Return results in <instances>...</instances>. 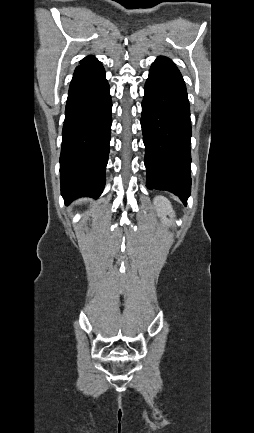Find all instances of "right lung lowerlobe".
<instances>
[{
    "label": "right lung lower lobe",
    "mask_w": 254,
    "mask_h": 433,
    "mask_svg": "<svg viewBox=\"0 0 254 433\" xmlns=\"http://www.w3.org/2000/svg\"><path fill=\"white\" fill-rule=\"evenodd\" d=\"M110 87L102 64L81 62L68 93L60 155L61 194L66 204L97 198L105 185L112 124Z\"/></svg>",
    "instance_id": "1"
}]
</instances>
